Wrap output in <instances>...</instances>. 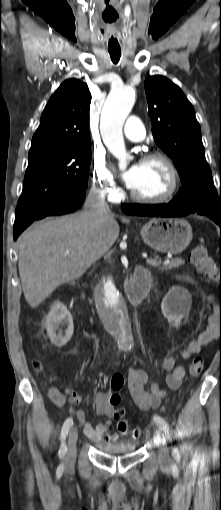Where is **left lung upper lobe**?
<instances>
[{
	"instance_id": "5c2ea615",
	"label": "left lung upper lobe",
	"mask_w": 221,
	"mask_h": 510,
	"mask_svg": "<svg viewBox=\"0 0 221 510\" xmlns=\"http://www.w3.org/2000/svg\"><path fill=\"white\" fill-rule=\"evenodd\" d=\"M145 91L154 140L174 161L182 182L170 203L189 209H221V193L217 194L205 159L193 106L177 85L160 75L146 78Z\"/></svg>"
}]
</instances>
